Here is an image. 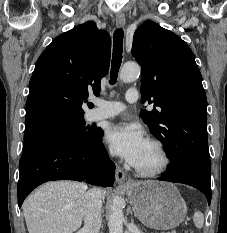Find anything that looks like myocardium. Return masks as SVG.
<instances>
[{"label": "myocardium", "instance_id": "f54148a6", "mask_svg": "<svg viewBox=\"0 0 227 233\" xmlns=\"http://www.w3.org/2000/svg\"><path fill=\"white\" fill-rule=\"evenodd\" d=\"M147 142L158 150L161 156L160 165L154 169H143V168H140L132 164V168L136 174L142 177H156L167 171L171 163V158H170L167 148L160 140L149 139Z\"/></svg>", "mask_w": 227, "mask_h": 233}]
</instances>
